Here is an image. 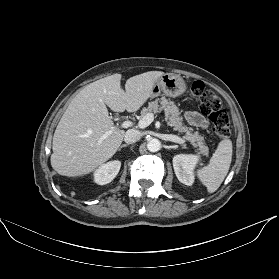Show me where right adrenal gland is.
I'll return each instance as SVG.
<instances>
[{
	"instance_id": "1",
	"label": "right adrenal gland",
	"mask_w": 279,
	"mask_h": 279,
	"mask_svg": "<svg viewBox=\"0 0 279 279\" xmlns=\"http://www.w3.org/2000/svg\"><path fill=\"white\" fill-rule=\"evenodd\" d=\"M127 146H128L127 144H122V145L120 146V148H119V151H120L122 148L127 147Z\"/></svg>"
}]
</instances>
